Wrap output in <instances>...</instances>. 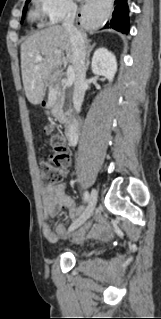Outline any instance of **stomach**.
Returning a JSON list of instances; mask_svg holds the SVG:
<instances>
[{
	"label": "stomach",
	"instance_id": "1",
	"mask_svg": "<svg viewBox=\"0 0 161 319\" xmlns=\"http://www.w3.org/2000/svg\"><path fill=\"white\" fill-rule=\"evenodd\" d=\"M55 77H56V74L54 75V78L53 79H55ZM53 81V80H52Z\"/></svg>",
	"mask_w": 161,
	"mask_h": 319
}]
</instances>
